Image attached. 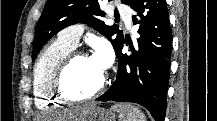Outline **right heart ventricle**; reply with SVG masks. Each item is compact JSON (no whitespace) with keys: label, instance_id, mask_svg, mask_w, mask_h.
<instances>
[{"label":"right heart ventricle","instance_id":"e07e8e85","mask_svg":"<svg viewBox=\"0 0 217 121\" xmlns=\"http://www.w3.org/2000/svg\"><path fill=\"white\" fill-rule=\"evenodd\" d=\"M73 49L58 37L40 53L33 71V93L38 108L49 109L61 103L52 93L51 79L57 66Z\"/></svg>","mask_w":217,"mask_h":121}]
</instances>
